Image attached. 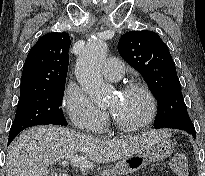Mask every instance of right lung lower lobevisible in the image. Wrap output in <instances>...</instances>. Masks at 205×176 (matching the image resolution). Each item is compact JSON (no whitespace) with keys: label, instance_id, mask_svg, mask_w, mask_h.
<instances>
[{"label":"right lung lower lobe","instance_id":"obj_1","mask_svg":"<svg viewBox=\"0 0 205 176\" xmlns=\"http://www.w3.org/2000/svg\"><path fill=\"white\" fill-rule=\"evenodd\" d=\"M13 139H14V137L8 139V145L11 143V141H12Z\"/></svg>","mask_w":205,"mask_h":176}]
</instances>
